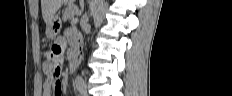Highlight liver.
Segmentation results:
<instances>
[{
	"label": "liver",
	"mask_w": 232,
	"mask_h": 96,
	"mask_svg": "<svg viewBox=\"0 0 232 96\" xmlns=\"http://www.w3.org/2000/svg\"><path fill=\"white\" fill-rule=\"evenodd\" d=\"M64 0H41L42 16L46 25L54 18Z\"/></svg>",
	"instance_id": "liver-1"
}]
</instances>
